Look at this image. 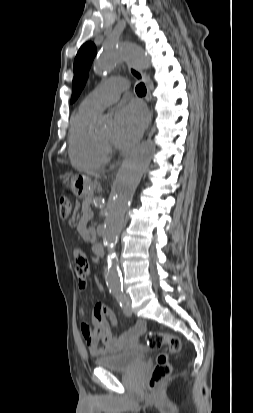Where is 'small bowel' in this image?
<instances>
[{
    "instance_id": "c3829d8e",
    "label": "small bowel",
    "mask_w": 253,
    "mask_h": 413,
    "mask_svg": "<svg viewBox=\"0 0 253 413\" xmlns=\"http://www.w3.org/2000/svg\"><path fill=\"white\" fill-rule=\"evenodd\" d=\"M74 259L78 266L76 271L77 285L83 291L87 287L89 269L85 255L80 250L74 251ZM109 321V322H108ZM117 321L113 313L103 304L94 307L92 325L81 324L84 340L92 355L116 353L137 345L139 338L146 330V323L138 320L132 328L118 334Z\"/></svg>"
}]
</instances>
